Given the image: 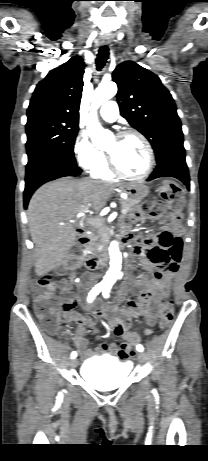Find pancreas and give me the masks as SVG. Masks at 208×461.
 Returning <instances> with one entry per match:
<instances>
[{
	"instance_id": "pancreas-1",
	"label": "pancreas",
	"mask_w": 208,
	"mask_h": 461,
	"mask_svg": "<svg viewBox=\"0 0 208 461\" xmlns=\"http://www.w3.org/2000/svg\"><path fill=\"white\" fill-rule=\"evenodd\" d=\"M139 200L128 198L125 200H121L122 208L127 210V213H132L138 208ZM97 231L95 235H92L90 238V242L85 246L87 251H96L100 246L105 243L107 235L109 233V229L105 226L96 225Z\"/></svg>"
}]
</instances>
